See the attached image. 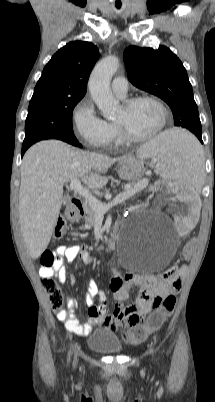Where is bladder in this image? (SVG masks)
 I'll use <instances>...</instances> for the list:
<instances>
[{"label":"bladder","instance_id":"bladder-1","mask_svg":"<svg viewBox=\"0 0 215 402\" xmlns=\"http://www.w3.org/2000/svg\"><path fill=\"white\" fill-rule=\"evenodd\" d=\"M88 348L102 354H115L122 350L118 336L107 329L95 330L87 339Z\"/></svg>","mask_w":215,"mask_h":402}]
</instances>
